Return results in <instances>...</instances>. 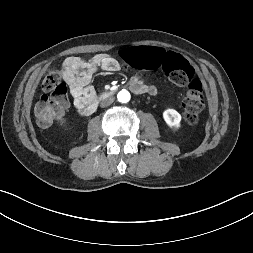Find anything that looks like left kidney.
I'll list each match as a JSON object with an SVG mask.
<instances>
[{
  "mask_svg": "<svg viewBox=\"0 0 253 253\" xmlns=\"http://www.w3.org/2000/svg\"><path fill=\"white\" fill-rule=\"evenodd\" d=\"M163 119L172 129H179L181 124V115L175 109H167L163 112Z\"/></svg>",
  "mask_w": 253,
  "mask_h": 253,
  "instance_id": "5707ae66",
  "label": "left kidney"
}]
</instances>
